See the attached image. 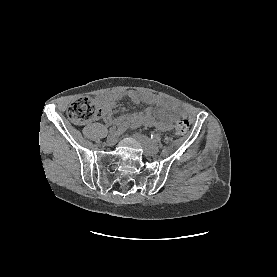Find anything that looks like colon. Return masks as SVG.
Instances as JSON below:
<instances>
[{
	"label": "colon",
	"instance_id": "1",
	"mask_svg": "<svg viewBox=\"0 0 277 277\" xmlns=\"http://www.w3.org/2000/svg\"><path fill=\"white\" fill-rule=\"evenodd\" d=\"M106 109L89 97L82 96L74 100L67 111L68 117L75 123H86L103 117ZM189 128L186 118H179L173 124V133L177 136L184 135Z\"/></svg>",
	"mask_w": 277,
	"mask_h": 277
}]
</instances>
